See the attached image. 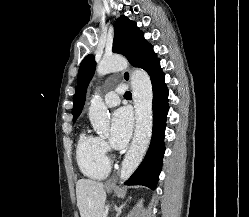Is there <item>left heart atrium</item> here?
Instances as JSON below:
<instances>
[{"label": "left heart atrium", "instance_id": "obj_1", "mask_svg": "<svg viewBox=\"0 0 249 217\" xmlns=\"http://www.w3.org/2000/svg\"><path fill=\"white\" fill-rule=\"evenodd\" d=\"M132 116L125 108L116 110L112 117L110 144L115 149H123L131 136Z\"/></svg>", "mask_w": 249, "mask_h": 217}]
</instances>
